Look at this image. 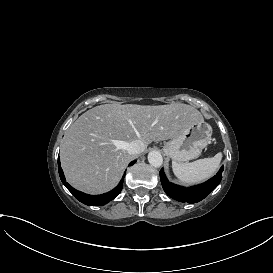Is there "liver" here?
Listing matches in <instances>:
<instances>
[{
    "label": "liver",
    "mask_w": 273,
    "mask_h": 273,
    "mask_svg": "<svg viewBox=\"0 0 273 273\" xmlns=\"http://www.w3.org/2000/svg\"><path fill=\"white\" fill-rule=\"evenodd\" d=\"M203 120L195 107L167 105L103 104L82 114L69 128L61 151L66 181L89 195H101L120 182L130 157L127 146L179 136L191 123Z\"/></svg>",
    "instance_id": "liver-1"
}]
</instances>
